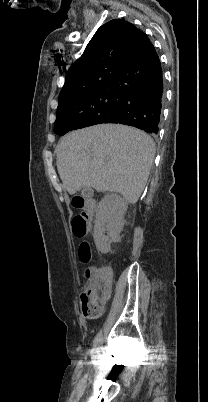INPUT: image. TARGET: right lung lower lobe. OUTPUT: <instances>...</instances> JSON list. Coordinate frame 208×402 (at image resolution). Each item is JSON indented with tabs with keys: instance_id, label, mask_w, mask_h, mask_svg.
<instances>
[{
	"instance_id": "right-lung-lower-lobe-1",
	"label": "right lung lower lobe",
	"mask_w": 208,
	"mask_h": 402,
	"mask_svg": "<svg viewBox=\"0 0 208 402\" xmlns=\"http://www.w3.org/2000/svg\"><path fill=\"white\" fill-rule=\"evenodd\" d=\"M117 106L108 113L85 119L62 121L57 133L101 123H120L157 134L164 100L162 68L147 37L114 79Z\"/></svg>"
}]
</instances>
